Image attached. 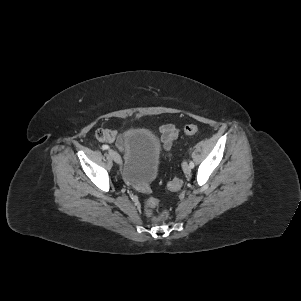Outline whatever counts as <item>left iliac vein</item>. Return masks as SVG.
Here are the masks:
<instances>
[{
    "label": "left iliac vein",
    "instance_id": "1",
    "mask_svg": "<svg viewBox=\"0 0 301 301\" xmlns=\"http://www.w3.org/2000/svg\"><path fill=\"white\" fill-rule=\"evenodd\" d=\"M182 167H183V171H184L185 174H190L191 167L187 162H183Z\"/></svg>",
    "mask_w": 301,
    "mask_h": 301
}]
</instances>
